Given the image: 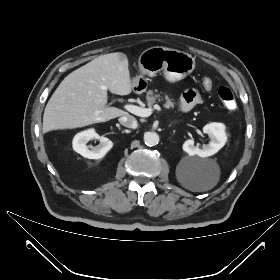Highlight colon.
Segmentation results:
<instances>
[{"label": "colon", "mask_w": 280, "mask_h": 280, "mask_svg": "<svg viewBox=\"0 0 280 280\" xmlns=\"http://www.w3.org/2000/svg\"><path fill=\"white\" fill-rule=\"evenodd\" d=\"M202 87L205 91L210 92L214 89L215 84L212 80L207 79L203 82ZM218 95H219L222 103L228 110L236 109V106H237L236 99H235L233 92L229 88L224 87V86L220 87L218 89Z\"/></svg>", "instance_id": "5ec220e1"}]
</instances>
